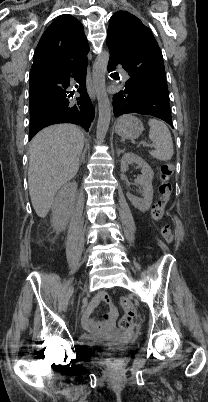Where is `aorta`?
<instances>
[{
	"mask_svg": "<svg viewBox=\"0 0 208 402\" xmlns=\"http://www.w3.org/2000/svg\"><path fill=\"white\" fill-rule=\"evenodd\" d=\"M109 52H101L98 54L92 68V80L95 88L97 100L99 118L96 130V138L98 142H103L109 128L111 120V104L108 98L105 74L107 72V66L109 62Z\"/></svg>",
	"mask_w": 208,
	"mask_h": 402,
	"instance_id": "aorta-1",
	"label": "aorta"
}]
</instances>
